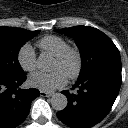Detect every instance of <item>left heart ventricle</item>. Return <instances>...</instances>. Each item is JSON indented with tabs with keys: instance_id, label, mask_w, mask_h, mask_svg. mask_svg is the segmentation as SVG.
I'll use <instances>...</instances> for the list:
<instances>
[{
	"instance_id": "left-heart-ventricle-1",
	"label": "left heart ventricle",
	"mask_w": 128,
	"mask_h": 128,
	"mask_svg": "<svg viewBox=\"0 0 128 128\" xmlns=\"http://www.w3.org/2000/svg\"><path fill=\"white\" fill-rule=\"evenodd\" d=\"M74 68V64L73 63H69V64H61L58 61H54L53 66H52V70L56 71V70H60L62 71L66 76L68 75V73Z\"/></svg>"
}]
</instances>
